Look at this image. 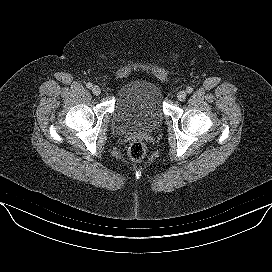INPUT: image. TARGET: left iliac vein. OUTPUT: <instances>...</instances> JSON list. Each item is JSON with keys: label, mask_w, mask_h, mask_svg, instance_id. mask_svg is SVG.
Segmentation results:
<instances>
[{"label": "left iliac vein", "mask_w": 272, "mask_h": 272, "mask_svg": "<svg viewBox=\"0 0 272 272\" xmlns=\"http://www.w3.org/2000/svg\"><path fill=\"white\" fill-rule=\"evenodd\" d=\"M186 96H187V94H186L185 91H179V92L177 93V99H178L179 101H184V100L186 99Z\"/></svg>", "instance_id": "4c4485c4"}]
</instances>
